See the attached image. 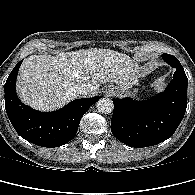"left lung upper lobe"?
Segmentation results:
<instances>
[{"instance_id": "1", "label": "left lung upper lobe", "mask_w": 195, "mask_h": 195, "mask_svg": "<svg viewBox=\"0 0 195 195\" xmlns=\"http://www.w3.org/2000/svg\"><path fill=\"white\" fill-rule=\"evenodd\" d=\"M162 58L163 60L170 64L172 67L173 66H181L180 62L178 61V59L173 56V55H169V54H162Z\"/></svg>"}]
</instances>
